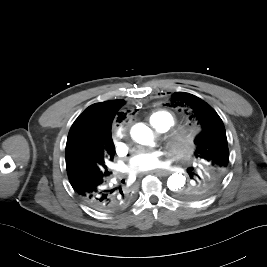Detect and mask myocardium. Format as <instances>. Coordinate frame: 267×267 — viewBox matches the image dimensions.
<instances>
[{"mask_svg":"<svg viewBox=\"0 0 267 267\" xmlns=\"http://www.w3.org/2000/svg\"><path fill=\"white\" fill-rule=\"evenodd\" d=\"M194 143V132L191 129H177L165 138L166 147L175 155H185L188 153Z\"/></svg>","mask_w":267,"mask_h":267,"instance_id":"1","label":"myocardium"}]
</instances>
